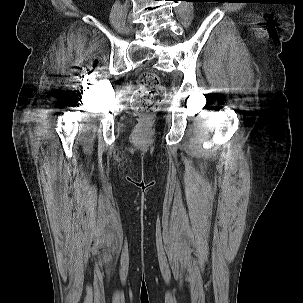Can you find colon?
Segmentation results:
<instances>
[{"instance_id":"obj_1","label":"colon","mask_w":303,"mask_h":303,"mask_svg":"<svg viewBox=\"0 0 303 303\" xmlns=\"http://www.w3.org/2000/svg\"><path fill=\"white\" fill-rule=\"evenodd\" d=\"M166 93L165 86L155 73H143L138 80L135 93L138 110L145 115L151 114L156 106L162 104Z\"/></svg>"}]
</instances>
